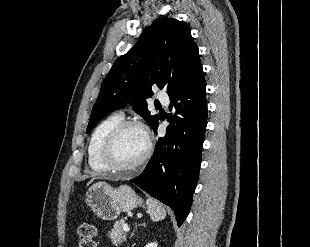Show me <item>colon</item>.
Returning <instances> with one entry per match:
<instances>
[{
    "label": "colon",
    "instance_id": "colon-1",
    "mask_svg": "<svg viewBox=\"0 0 310 247\" xmlns=\"http://www.w3.org/2000/svg\"><path fill=\"white\" fill-rule=\"evenodd\" d=\"M78 247H96V229L92 224L83 223L78 228Z\"/></svg>",
    "mask_w": 310,
    "mask_h": 247
}]
</instances>
